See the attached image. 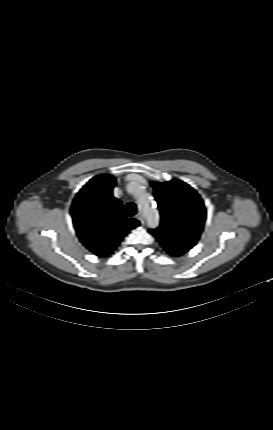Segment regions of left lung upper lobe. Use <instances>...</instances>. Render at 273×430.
<instances>
[{
	"instance_id": "obj_1",
	"label": "left lung upper lobe",
	"mask_w": 273,
	"mask_h": 430,
	"mask_svg": "<svg viewBox=\"0 0 273 430\" xmlns=\"http://www.w3.org/2000/svg\"><path fill=\"white\" fill-rule=\"evenodd\" d=\"M161 214V224L149 232L164 250L177 257L198 241L206 219V209L199 194L180 180L151 182Z\"/></svg>"
}]
</instances>
